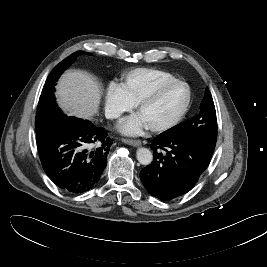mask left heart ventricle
<instances>
[{
  "instance_id": "obj_1",
  "label": "left heart ventricle",
  "mask_w": 267,
  "mask_h": 267,
  "mask_svg": "<svg viewBox=\"0 0 267 267\" xmlns=\"http://www.w3.org/2000/svg\"><path fill=\"white\" fill-rule=\"evenodd\" d=\"M187 91L183 85H173L139 111L148 126L163 123L176 116L185 104Z\"/></svg>"
}]
</instances>
